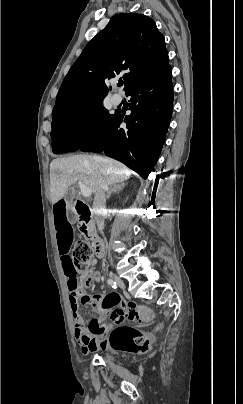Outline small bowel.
<instances>
[{
  "instance_id": "small-bowel-1",
  "label": "small bowel",
  "mask_w": 243,
  "mask_h": 404,
  "mask_svg": "<svg viewBox=\"0 0 243 404\" xmlns=\"http://www.w3.org/2000/svg\"><path fill=\"white\" fill-rule=\"evenodd\" d=\"M53 220L58 248L61 256V264L67 278L69 289V301L74 320L75 336L81 346L83 354H89L99 349H105L108 345V332L111 328L110 322L102 323V318L108 314L110 320L116 324L128 321H143V314L140 313L134 304L126 303L120 305V296L117 293L97 294L89 296L80 287L75 286L76 276L73 272L72 257L70 248L73 242V228L69 218L66 203L63 199L57 200L53 205ZM99 274L94 273L89 284L97 282ZM80 303H90L98 313V317L90 321L89 327L85 328L78 313Z\"/></svg>"
}]
</instances>
